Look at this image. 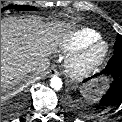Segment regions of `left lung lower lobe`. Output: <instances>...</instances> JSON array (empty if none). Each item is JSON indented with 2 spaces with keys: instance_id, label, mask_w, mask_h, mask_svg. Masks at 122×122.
Listing matches in <instances>:
<instances>
[{
  "instance_id": "0a47b994",
  "label": "left lung lower lobe",
  "mask_w": 122,
  "mask_h": 122,
  "mask_svg": "<svg viewBox=\"0 0 122 122\" xmlns=\"http://www.w3.org/2000/svg\"><path fill=\"white\" fill-rule=\"evenodd\" d=\"M99 75L111 76L112 84L107 93L101 98L102 108H113L122 102V54H115L109 61L105 69ZM92 77V78H93ZM87 80H84L86 82Z\"/></svg>"
}]
</instances>
